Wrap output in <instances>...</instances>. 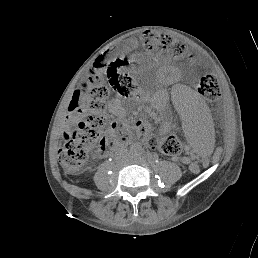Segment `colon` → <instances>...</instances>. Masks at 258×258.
Returning a JSON list of instances; mask_svg holds the SVG:
<instances>
[{
	"instance_id": "colon-1",
	"label": "colon",
	"mask_w": 258,
	"mask_h": 258,
	"mask_svg": "<svg viewBox=\"0 0 258 258\" xmlns=\"http://www.w3.org/2000/svg\"><path fill=\"white\" fill-rule=\"evenodd\" d=\"M142 43L150 50L161 49L170 52L173 56L183 55L181 45L168 34L146 33L142 36ZM108 84L125 97L129 96L135 88V83L125 71L122 61L102 56L95 60L89 74L73 96V109H81L82 118L81 125L60 151V161L66 174L77 173L90 152L104 151L119 143L118 133L113 137L103 133L106 125ZM198 91L207 100L217 101L220 97L217 78L210 74L202 76L198 83ZM135 134L163 154L177 156L181 153V143L177 137L159 136L143 122L137 123Z\"/></svg>"
}]
</instances>
